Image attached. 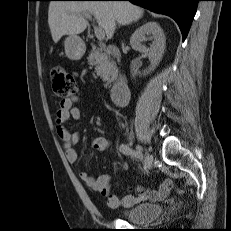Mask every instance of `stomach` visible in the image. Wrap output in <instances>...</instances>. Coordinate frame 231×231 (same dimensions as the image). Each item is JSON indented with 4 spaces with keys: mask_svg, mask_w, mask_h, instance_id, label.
<instances>
[{
    "mask_svg": "<svg viewBox=\"0 0 231 231\" xmlns=\"http://www.w3.org/2000/svg\"><path fill=\"white\" fill-rule=\"evenodd\" d=\"M64 47L66 56L74 61L80 60L86 49L83 40L77 35H69L66 37Z\"/></svg>",
    "mask_w": 231,
    "mask_h": 231,
    "instance_id": "1",
    "label": "stomach"
}]
</instances>
